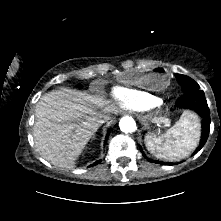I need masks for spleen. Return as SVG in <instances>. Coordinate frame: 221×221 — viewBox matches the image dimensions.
<instances>
[{
  "mask_svg": "<svg viewBox=\"0 0 221 221\" xmlns=\"http://www.w3.org/2000/svg\"><path fill=\"white\" fill-rule=\"evenodd\" d=\"M200 122L196 114L184 111L180 119L162 136L146 135L145 144L155 157L174 161L185 158L200 138Z\"/></svg>",
  "mask_w": 221,
  "mask_h": 221,
  "instance_id": "1",
  "label": "spleen"
}]
</instances>
